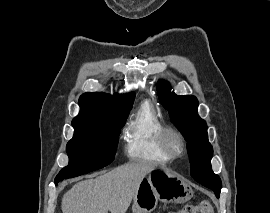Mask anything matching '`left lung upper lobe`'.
Masks as SVG:
<instances>
[{
    "instance_id": "5c2ea615",
    "label": "left lung upper lobe",
    "mask_w": 270,
    "mask_h": 213,
    "mask_svg": "<svg viewBox=\"0 0 270 213\" xmlns=\"http://www.w3.org/2000/svg\"><path fill=\"white\" fill-rule=\"evenodd\" d=\"M157 92L160 102L169 110L172 123L185 136L191 176L219 195L221 180L212 171L213 148L208 141L206 122L197 114L198 100L194 96L176 95L166 81L157 84Z\"/></svg>"
}]
</instances>
